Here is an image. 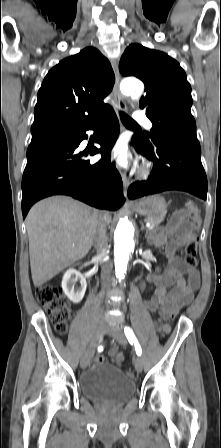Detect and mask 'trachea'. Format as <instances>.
Listing matches in <instances>:
<instances>
[{
  "mask_svg": "<svg viewBox=\"0 0 221 448\" xmlns=\"http://www.w3.org/2000/svg\"><path fill=\"white\" fill-rule=\"evenodd\" d=\"M119 114H120L121 121L123 122V124L125 126H128V127H137L138 126V124L132 118H130L128 115H126L124 112L120 111Z\"/></svg>",
  "mask_w": 221,
  "mask_h": 448,
  "instance_id": "obj_1",
  "label": "trachea"
}]
</instances>
